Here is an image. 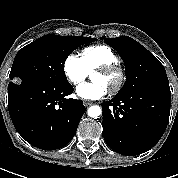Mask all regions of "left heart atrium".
Wrapping results in <instances>:
<instances>
[{
	"mask_svg": "<svg viewBox=\"0 0 178 178\" xmlns=\"http://www.w3.org/2000/svg\"><path fill=\"white\" fill-rule=\"evenodd\" d=\"M109 89L102 83H83L76 88V94L84 100H98L105 97Z\"/></svg>",
	"mask_w": 178,
	"mask_h": 178,
	"instance_id": "obj_1",
	"label": "left heart atrium"
}]
</instances>
